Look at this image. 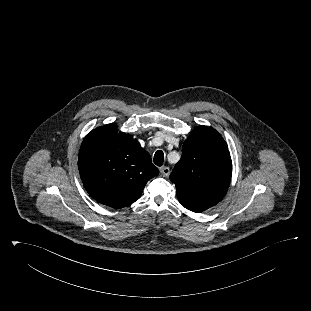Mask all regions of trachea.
Instances as JSON below:
<instances>
[{
	"instance_id": "obj_1",
	"label": "trachea",
	"mask_w": 311,
	"mask_h": 311,
	"mask_svg": "<svg viewBox=\"0 0 311 311\" xmlns=\"http://www.w3.org/2000/svg\"><path fill=\"white\" fill-rule=\"evenodd\" d=\"M154 164L157 166H162L164 162V153L161 150H158L153 158Z\"/></svg>"
}]
</instances>
